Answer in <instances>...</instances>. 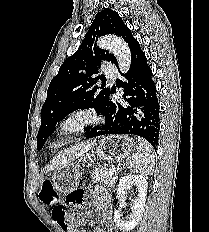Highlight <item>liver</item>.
Returning <instances> with one entry per match:
<instances>
[{"label": "liver", "mask_w": 209, "mask_h": 232, "mask_svg": "<svg viewBox=\"0 0 209 232\" xmlns=\"http://www.w3.org/2000/svg\"><path fill=\"white\" fill-rule=\"evenodd\" d=\"M96 142H86L78 145H74L71 148L65 150L63 153L59 154L50 164L47 165L46 172H50L59 167L65 166L68 163L74 161L76 158L81 157L84 153L89 151Z\"/></svg>", "instance_id": "obj_1"}]
</instances>
